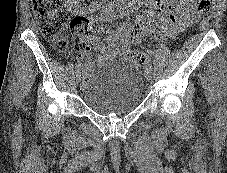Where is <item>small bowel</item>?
<instances>
[{
    "instance_id": "small-bowel-1",
    "label": "small bowel",
    "mask_w": 227,
    "mask_h": 173,
    "mask_svg": "<svg viewBox=\"0 0 227 173\" xmlns=\"http://www.w3.org/2000/svg\"><path fill=\"white\" fill-rule=\"evenodd\" d=\"M194 3V0H133L125 11L128 16L126 23L115 32L94 31L97 36L88 37L86 42L89 46H96L102 59L130 57L132 41L141 42L149 35H163L173 39L195 24L199 15ZM140 6L146 9L138 12ZM101 22L102 19H95L92 23ZM98 38H103L105 45H99ZM79 59L86 68L94 64L91 51L81 52Z\"/></svg>"
}]
</instances>
